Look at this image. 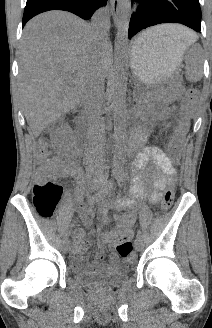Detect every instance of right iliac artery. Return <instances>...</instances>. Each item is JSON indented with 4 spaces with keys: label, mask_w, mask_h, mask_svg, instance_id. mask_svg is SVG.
I'll return each instance as SVG.
<instances>
[{
    "label": "right iliac artery",
    "mask_w": 212,
    "mask_h": 328,
    "mask_svg": "<svg viewBox=\"0 0 212 328\" xmlns=\"http://www.w3.org/2000/svg\"><path fill=\"white\" fill-rule=\"evenodd\" d=\"M99 195H95V196H92L89 200H88V204L89 205H93L96 201H98L99 199ZM69 230H67V232L65 233V237L64 239H67L68 238V235H69Z\"/></svg>",
    "instance_id": "right-iliac-artery-1"
}]
</instances>
